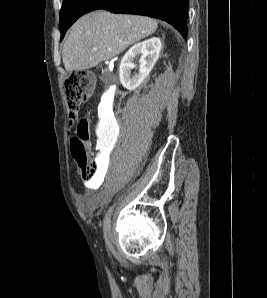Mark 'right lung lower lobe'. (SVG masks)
I'll list each match as a JSON object with an SVG mask.
<instances>
[{"label": "right lung lower lobe", "mask_w": 267, "mask_h": 298, "mask_svg": "<svg viewBox=\"0 0 267 298\" xmlns=\"http://www.w3.org/2000/svg\"><path fill=\"white\" fill-rule=\"evenodd\" d=\"M97 9L161 19L187 37L188 0H97L90 11Z\"/></svg>", "instance_id": "right-lung-lower-lobe-1"}]
</instances>
